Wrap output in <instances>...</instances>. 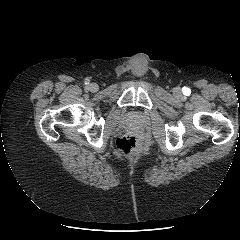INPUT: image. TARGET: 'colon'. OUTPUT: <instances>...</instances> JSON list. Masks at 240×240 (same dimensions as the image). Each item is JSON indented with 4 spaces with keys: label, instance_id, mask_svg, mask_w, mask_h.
Returning a JSON list of instances; mask_svg holds the SVG:
<instances>
[{
    "label": "colon",
    "instance_id": "5ec220e1",
    "mask_svg": "<svg viewBox=\"0 0 240 240\" xmlns=\"http://www.w3.org/2000/svg\"><path fill=\"white\" fill-rule=\"evenodd\" d=\"M118 149L126 156H134L145 148L144 141L137 135H127L117 141Z\"/></svg>",
    "mask_w": 240,
    "mask_h": 240
}]
</instances>
